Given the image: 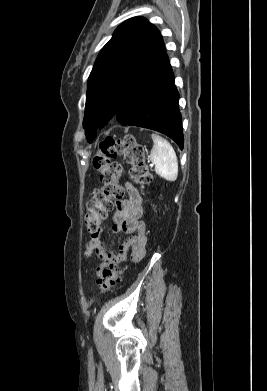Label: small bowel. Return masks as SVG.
I'll return each mask as SVG.
<instances>
[{
  "mask_svg": "<svg viewBox=\"0 0 267 391\" xmlns=\"http://www.w3.org/2000/svg\"><path fill=\"white\" fill-rule=\"evenodd\" d=\"M126 190L128 197L115 203L112 232H124L130 236L119 245L117 250L100 236L92 238L87 247L88 255L96 254L99 258L95 269L98 277H101L102 271L106 268H115L119 263L129 259L139 261L146 254V230L144 222L141 221L142 198L133 184L126 183Z\"/></svg>",
  "mask_w": 267,
  "mask_h": 391,
  "instance_id": "c3829d8e",
  "label": "small bowel"
}]
</instances>
